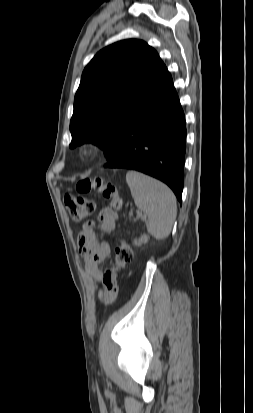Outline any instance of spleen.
I'll list each match as a JSON object with an SVG mask.
<instances>
[{
  "mask_svg": "<svg viewBox=\"0 0 253 413\" xmlns=\"http://www.w3.org/2000/svg\"><path fill=\"white\" fill-rule=\"evenodd\" d=\"M126 181L136 206L148 217V232L161 240L169 236L177 215L176 198L162 182L137 171H128Z\"/></svg>",
  "mask_w": 253,
  "mask_h": 413,
  "instance_id": "obj_1",
  "label": "spleen"
}]
</instances>
